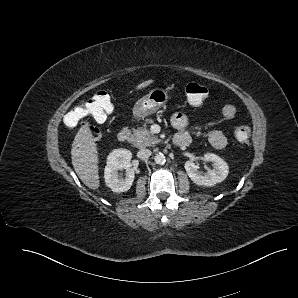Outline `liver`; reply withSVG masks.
Instances as JSON below:
<instances>
[{
    "label": "liver",
    "mask_w": 298,
    "mask_h": 298,
    "mask_svg": "<svg viewBox=\"0 0 298 298\" xmlns=\"http://www.w3.org/2000/svg\"><path fill=\"white\" fill-rule=\"evenodd\" d=\"M149 79L137 85L140 90L152 84ZM71 159L74 170L80 180L90 189L96 190L100 186L98 174L97 147L87 121L78 130L71 149Z\"/></svg>",
    "instance_id": "obj_1"
}]
</instances>
